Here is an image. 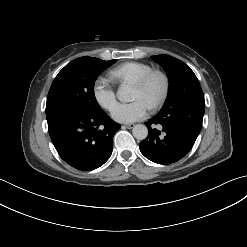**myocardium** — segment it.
<instances>
[{
	"instance_id": "obj_1",
	"label": "myocardium",
	"mask_w": 247,
	"mask_h": 247,
	"mask_svg": "<svg viewBox=\"0 0 247 247\" xmlns=\"http://www.w3.org/2000/svg\"><path fill=\"white\" fill-rule=\"evenodd\" d=\"M154 78H160L161 79L162 90H161V93L159 94V96L150 105L151 109H156L165 102V100L169 94V91H170L169 76L161 70H151L145 76H143L142 78H140L139 80L134 82L135 86H137L140 89L145 90L148 88V86L150 85V83L152 82V80Z\"/></svg>"
}]
</instances>
